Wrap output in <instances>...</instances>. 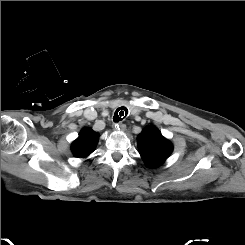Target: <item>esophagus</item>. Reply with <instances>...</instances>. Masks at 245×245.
<instances>
[{
	"mask_svg": "<svg viewBox=\"0 0 245 245\" xmlns=\"http://www.w3.org/2000/svg\"><path fill=\"white\" fill-rule=\"evenodd\" d=\"M115 127L118 128L121 131H125L126 130V125L123 123H116Z\"/></svg>",
	"mask_w": 245,
	"mask_h": 245,
	"instance_id": "esophagus-1",
	"label": "esophagus"
}]
</instances>
